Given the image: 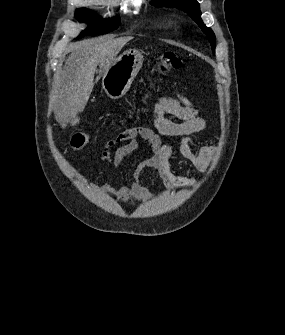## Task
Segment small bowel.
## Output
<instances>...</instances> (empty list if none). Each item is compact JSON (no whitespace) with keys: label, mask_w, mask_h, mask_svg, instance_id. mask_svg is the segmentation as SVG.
Masks as SVG:
<instances>
[{"label":"small bowel","mask_w":285,"mask_h":335,"mask_svg":"<svg viewBox=\"0 0 285 335\" xmlns=\"http://www.w3.org/2000/svg\"><path fill=\"white\" fill-rule=\"evenodd\" d=\"M166 113L174 115L181 122L166 118ZM153 124L156 131L146 126H133L119 132L104 144L101 159L103 161L113 159L119 166L142 145L150 152L149 157L136 164L133 170L134 180L130 184L118 187L107 184L102 186L103 190L125 203L148 201L150 192L141 182L142 172L147 168L156 169L170 191L191 187L195 179L180 176L173 170L172 159L176 152L199 171H205L212 158L214 152L212 146L197 145L191 138L193 133L207 127V121L200 115L196 105L182 93L174 91L172 95L164 94L157 98L153 108ZM160 135L179 140L176 144H162ZM122 142L127 143L119 147L112 156L110 149Z\"/></svg>","instance_id":"c3829d8e"}]
</instances>
